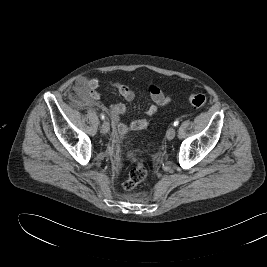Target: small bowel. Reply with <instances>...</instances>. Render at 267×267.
<instances>
[{"mask_svg": "<svg viewBox=\"0 0 267 267\" xmlns=\"http://www.w3.org/2000/svg\"><path fill=\"white\" fill-rule=\"evenodd\" d=\"M98 86L99 80L97 78H80L75 83L74 91L81 96L86 103L94 105L105 111L111 118L117 133L120 135L126 134L129 130L139 131L148 127L149 122L146 119H135L129 124L121 121L120 116L127 111V107L121 103H101L99 101L100 95L97 91ZM116 87L120 95L127 102L133 101L135 93L129 85L126 83H118ZM147 90L151 100L153 101V104L145 111L146 115L149 117L157 115L160 109L167 107L173 100L172 97L165 95L164 92L156 85L150 84Z\"/></svg>", "mask_w": 267, "mask_h": 267, "instance_id": "1", "label": "small bowel"}]
</instances>
